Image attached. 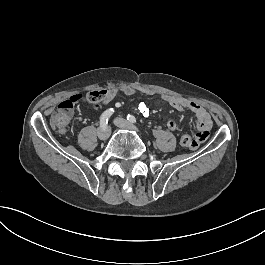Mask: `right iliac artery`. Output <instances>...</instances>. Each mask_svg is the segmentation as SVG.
Returning a JSON list of instances; mask_svg holds the SVG:
<instances>
[{"label":"right iliac artery","mask_w":265,"mask_h":265,"mask_svg":"<svg viewBox=\"0 0 265 265\" xmlns=\"http://www.w3.org/2000/svg\"><path fill=\"white\" fill-rule=\"evenodd\" d=\"M113 113H114L113 108H109L106 111H104V113L101 115V118H100V127L101 128L107 127L108 119L111 117V115Z\"/></svg>","instance_id":"1"}]
</instances>
